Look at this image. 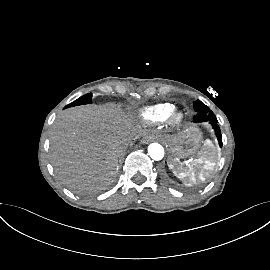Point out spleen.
<instances>
[{"instance_id": "obj_1", "label": "spleen", "mask_w": 270, "mask_h": 270, "mask_svg": "<svg viewBox=\"0 0 270 270\" xmlns=\"http://www.w3.org/2000/svg\"><path fill=\"white\" fill-rule=\"evenodd\" d=\"M213 157V144L206 141L199 151V156L194 161L185 164V170L178 178L190 177L193 181L198 177L201 181H205L206 177L214 169L215 163Z\"/></svg>"}]
</instances>
